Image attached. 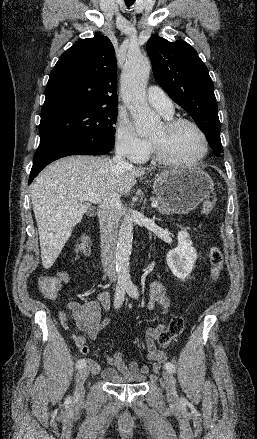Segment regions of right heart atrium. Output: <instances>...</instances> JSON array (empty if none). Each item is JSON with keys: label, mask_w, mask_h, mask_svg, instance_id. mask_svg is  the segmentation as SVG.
Returning a JSON list of instances; mask_svg holds the SVG:
<instances>
[{"label": "right heart atrium", "mask_w": 257, "mask_h": 439, "mask_svg": "<svg viewBox=\"0 0 257 439\" xmlns=\"http://www.w3.org/2000/svg\"><path fill=\"white\" fill-rule=\"evenodd\" d=\"M116 152L132 161L144 160L150 151V142L141 137L130 119L120 116L115 128Z\"/></svg>", "instance_id": "1"}]
</instances>
